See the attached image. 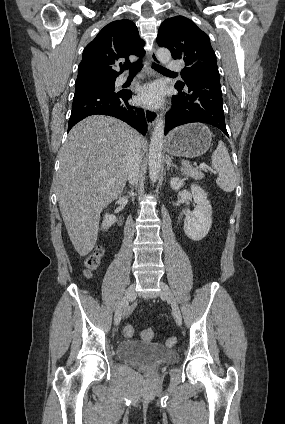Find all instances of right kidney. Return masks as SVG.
<instances>
[{
    "mask_svg": "<svg viewBox=\"0 0 285 424\" xmlns=\"http://www.w3.org/2000/svg\"><path fill=\"white\" fill-rule=\"evenodd\" d=\"M117 221L116 216L112 214H105L102 222V229H109Z\"/></svg>",
    "mask_w": 285,
    "mask_h": 424,
    "instance_id": "obj_1",
    "label": "right kidney"
}]
</instances>
